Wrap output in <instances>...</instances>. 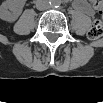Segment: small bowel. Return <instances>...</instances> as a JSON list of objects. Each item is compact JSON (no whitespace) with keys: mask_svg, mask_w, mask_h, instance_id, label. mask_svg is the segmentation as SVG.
<instances>
[{"mask_svg":"<svg viewBox=\"0 0 103 103\" xmlns=\"http://www.w3.org/2000/svg\"><path fill=\"white\" fill-rule=\"evenodd\" d=\"M77 7L82 13L88 16H93L95 14L93 6L87 1L80 2Z\"/></svg>","mask_w":103,"mask_h":103,"instance_id":"c3829d8e","label":"small bowel"}]
</instances>
